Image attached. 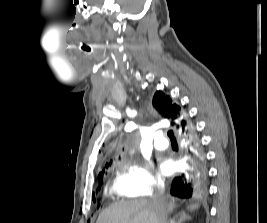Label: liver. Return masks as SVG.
Here are the masks:
<instances>
[{
	"instance_id": "obj_1",
	"label": "liver",
	"mask_w": 267,
	"mask_h": 223,
	"mask_svg": "<svg viewBox=\"0 0 267 223\" xmlns=\"http://www.w3.org/2000/svg\"><path fill=\"white\" fill-rule=\"evenodd\" d=\"M175 200L167 201V209L172 212ZM199 204H190L187 209L194 211ZM159 212L151 200L139 199L112 204L101 212L96 223H158Z\"/></svg>"
}]
</instances>
